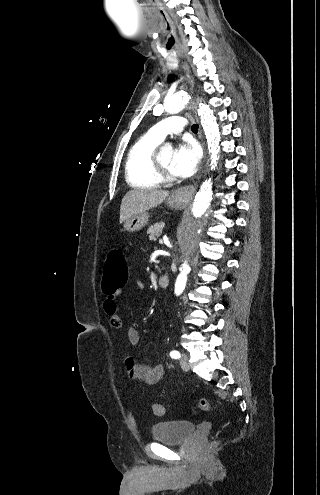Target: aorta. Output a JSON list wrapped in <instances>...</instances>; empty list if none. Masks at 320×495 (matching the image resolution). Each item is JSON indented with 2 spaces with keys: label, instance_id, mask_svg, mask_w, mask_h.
Here are the masks:
<instances>
[{
  "label": "aorta",
  "instance_id": "1",
  "mask_svg": "<svg viewBox=\"0 0 320 495\" xmlns=\"http://www.w3.org/2000/svg\"><path fill=\"white\" fill-rule=\"evenodd\" d=\"M189 102V96L185 92H179L164 100L163 108L168 114H176L184 109ZM201 124L203 126L208 150L211 158V169H215L220 152V130L213 111L209 106L203 105L199 109ZM219 206L212 195V181L206 180L198 190L193 205L188 214L185 215L178 227L177 241L182 251L181 255L189 261L190 247L192 250L202 239L204 231L208 229L214 220ZM191 268L187 262L179 273L175 282V294L178 296L185 290L188 274Z\"/></svg>",
  "mask_w": 320,
  "mask_h": 495
}]
</instances>
